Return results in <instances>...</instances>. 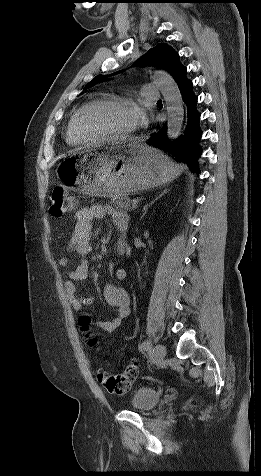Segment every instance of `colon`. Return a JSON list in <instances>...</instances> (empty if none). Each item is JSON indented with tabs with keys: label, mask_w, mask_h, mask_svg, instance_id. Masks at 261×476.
<instances>
[{
	"label": "colon",
	"mask_w": 261,
	"mask_h": 476,
	"mask_svg": "<svg viewBox=\"0 0 261 476\" xmlns=\"http://www.w3.org/2000/svg\"><path fill=\"white\" fill-rule=\"evenodd\" d=\"M50 213L54 217H62L75 208V200L72 195L69 194L67 187L64 185H57L51 192L50 195ZM90 319L88 316L83 315L80 318L81 330L88 334ZM88 336V335H87ZM91 345L96 344L94 338L89 339ZM138 364L136 361H131L127 364L123 372L119 374H112L105 370H99L97 373V378L99 383L105 388L109 393L112 394H124L129 391L132 384L138 376ZM198 405V400L193 398L189 401V406L196 407Z\"/></svg>",
	"instance_id": "1"
}]
</instances>
